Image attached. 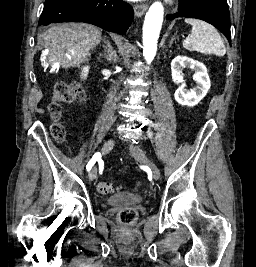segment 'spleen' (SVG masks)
<instances>
[{"label": "spleen", "instance_id": "spleen-1", "mask_svg": "<svg viewBox=\"0 0 256 267\" xmlns=\"http://www.w3.org/2000/svg\"><path fill=\"white\" fill-rule=\"evenodd\" d=\"M186 24L192 26L191 34L183 40V48L189 52H200V54H215V56H225L226 48L224 42L216 28L202 20L186 18Z\"/></svg>", "mask_w": 256, "mask_h": 267}]
</instances>
